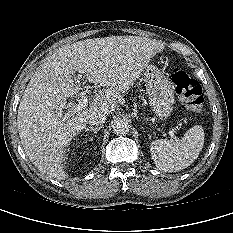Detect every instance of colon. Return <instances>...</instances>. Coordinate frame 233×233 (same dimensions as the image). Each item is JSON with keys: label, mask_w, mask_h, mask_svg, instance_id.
Listing matches in <instances>:
<instances>
[{"label": "colon", "mask_w": 233, "mask_h": 233, "mask_svg": "<svg viewBox=\"0 0 233 233\" xmlns=\"http://www.w3.org/2000/svg\"><path fill=\"white\" fill-rule=\"evenodd\" d=\"M171 79L176 93L184 101L188 109L194 113L201 112L204 107V97L199 83L180 67L172 69Z\"/></svg>", "instance_id": "obj_1"}]
</instances>
